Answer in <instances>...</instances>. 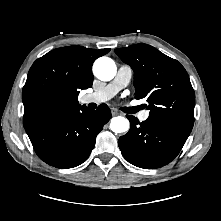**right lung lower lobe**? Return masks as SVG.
<instances>
[{
	"label": "right lung lower lobe",
	"instance_id": "obj_1",
	"mask_svg": "<svg viewBox=\"0 0 221 221\" xmlns=\"http://www.w3.org/2000/svg\"><path fill=\"white\" fill-rule=\"evenodd\" d=\"M110 118L105 104L96 111L79 105L25 130L41 160L57 168H73L89 157L97 134Z\"/></svg>",
	"mask_w": 221,
	"mask_h": 221
}]
</instances>
